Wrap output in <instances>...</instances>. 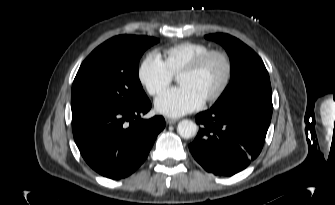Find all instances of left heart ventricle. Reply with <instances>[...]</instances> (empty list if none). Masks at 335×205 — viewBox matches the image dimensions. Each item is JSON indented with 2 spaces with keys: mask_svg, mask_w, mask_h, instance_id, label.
I'll list each match as a JSON object with an SVG mask.
<instances>
[{
  "mask_svg": "<svg viewBox=\"0 0 335 205\" xmlns=\"http://www.w3.org/2000/svg\"><path fill=\"white\" fill-rule=\"evenodd\" d=\"M225 65L221 58L213 57L197 73L178 77L180 86H187L197 92L204 100L214 94L222 83Z\"/></svg>",
  "mask_w": 335,
  "mask_h": 205,
  "instance_id": "left-heart-ventricle-1",
  "label": "left heart ventricle"
}]
</instances>
